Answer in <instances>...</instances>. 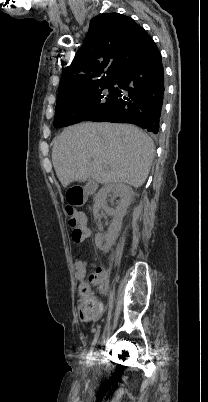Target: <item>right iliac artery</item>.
Here are the masks:
<instances>
[{"mask_svg":"<svg viewBox=\"0 0 208 402\" xmlns=\"http://www.w3.org/2000/svg\"><path fill=\"white\" fill-rule=\"evenodd\" d=\"M99 335H100V329H98V330L96 331L95 335H94V339H93V341H92V345H91V347H90V351H89V353H88V355H87V359H88V360H91L92 357H93V351H94L95 346H96V344H97V342H98Z\"/></svg>","mask_w":208,"mask_h":402,"instance_id":"obj_1","label":"right iliac artery"}]
</instances>
